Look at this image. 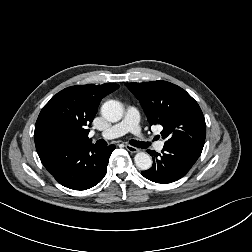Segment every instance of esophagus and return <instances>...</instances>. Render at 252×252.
I'll return each mask as SVG.
<instances>
[{
	"label": "esophagus",
	"instance_id": "esophagus-1",
	"mask_svg": "<svg viewBox=\"0 0 252 252\" xmlns=\"http://www.w3.org/2000/svg\"><path fill=\"white\" fill-rule=\"evenodd\" d=\"M125 148H126L129 152H131V153H137V152H139V149H138V148H136V147H134V146H131V145H129V144H126V145H125Z\"/></svg>",
	"mask_w": 252,
	"mask_h": 252
}]
</instances>
